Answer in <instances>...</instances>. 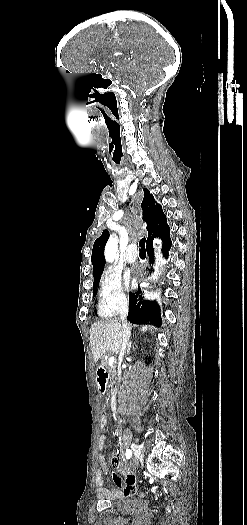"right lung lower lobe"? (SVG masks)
I'll return each instance as SVG.
<instances>
[{
  "instance_id": "right-lung-lower-lobe-1",
  "label": "right lung lower lobe",
  "mask_w": 247,
  "mask_h": 525,
  "mask_svg": "<svg viewBox=\"0 0 247 525\" xmlns=\"http://www.w3.org/2000/svg\"><path fill=\"white\" fill-rule=\"evenodd\" d=\"M170 228L166 224L164 227L159 229L157 232L152 234L149 238H147V252L150 257V262L154 259L152 252V241L154 237H160L163 240V248L162 251L165 256H167V252L171 247V239L169 236ZM130 292L129 294V315L128 320L130 322L134 323H152L156 325H161L162 320L160 317L159 312V306L155 302H148V301H142L137 303L138 294ZM141 299V296H140ZM141 304V305H140Z\"/></svg>"
}]
</instances>
